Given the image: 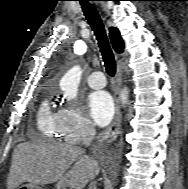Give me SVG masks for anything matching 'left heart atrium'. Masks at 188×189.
Wrapping results in <instances>:
<instances>
[{
    "mask_svg": "<svg viewBox=\"0 0 188 189\" xmlns=\"http://www.w3.org/2000/svg\"><path fill=\"white\" fill-rule=\"evenodd\" d=\"M88 108L91 118L99 126L107 125L114 114L113 99L105 91L92 93L88 99Z\"/></svg>",
    "mask_w": 188,
    "mask_h": 189,
    "instance_id": "left-heart-atrium-1",
    "label": "left heart atrium"
}]
</instances>
